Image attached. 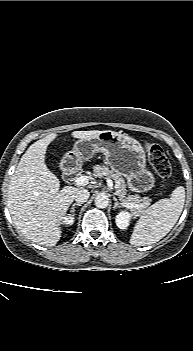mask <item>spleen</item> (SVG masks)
Wrapping results in <instances>:
<instances>
[{
    "mask_svg": "<svg viewBox=\"0 0 193 351\" xmlns=\"http://www.w3.org/2000/svg\"><path fill=\"white\" fill-rule=\"evenodd\" d=\"M185 203V188L177 187L168 199L149 207L136 222L130 244L151 245L165 237L178 221Z\"/></svg>",
    "mask_w": 193,
    "mask_h": 351,
    "instance_id": "obj_1",
    "label": "spleen"
}]
</instances>
